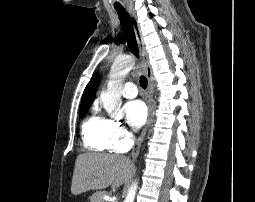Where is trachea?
<instances>
[{"mask_svg":"<svg viewBox=\"0 0 255 202\" xmlns=\"http://www.w3.org/2000/svg\"><path fill=\"white\" fill-rule=\"evenodd\" d=\"M116 11L119 15L122 31L128 44V47L135 56H138L139 53L138 45L130 16L124 8H116ZM140 85L143 89L147 87V79L144 76L140 77Z\"/></svg>","mask_w":255,"mask_h":202,"instance_id":"3493384b","label":"trachea"}]
</instances>
